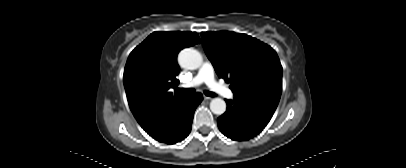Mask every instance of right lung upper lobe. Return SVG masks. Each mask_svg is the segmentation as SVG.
I'll return each mask as SVG.
<instances>
[{
    "instance_id": "obj_1",
    "label": "right lung upper lobe",
    "mask_w": 406,
    "mask_h": 168,
    "mask_svg": "<svg viewBox=\"0 0 406 168\" xmlns=\"http://www.w3.org/2000/svg\"><path fill=\"white\" fill-rule=\"evenodd\" d=\"M198 42L196 32H154L130 53L124 87L129 107L145 131L184 98L169 91L179 84L177 54Z\"/></svg>"
}]
</instances>
